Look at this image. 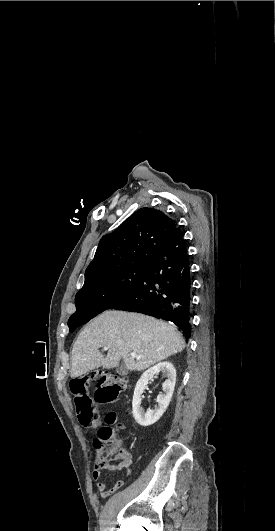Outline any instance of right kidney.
Instances as JSON below:
<instances>
[{
	"instance_id": "ca27d5eb",
	"label": "right kidney",
	"mask_w": 275,
	"mask_h": 531,
	"mask_svg": "<svg viewBox=\"0 0 275 531\" xmlns=\"http://www.w3.org/2000/svg\"><path fill=\"white\" fill-rule=\"evenodd\" d=\"M159 371H164V373H168V379H166L165 383H163L162 385V391H164V393L163 395H158L157 397L156 403H158V407H156L154 411H152V409H147L146 413H144V409L140 407L144 389L145 387H147L148 381H153L154 375H156V373H159ZM175 383L176 371L172 363H169V361H163V363H158V365H155V367H150L148 371H145V373H143L142 377H140L139 381H137L136 383L132 401V413L138 425H141V427H149V425H154V423H156V421H158V419L162 417L163 413H165L172 399V395L175 389Z\"/></svg>"
}]
</instances>
